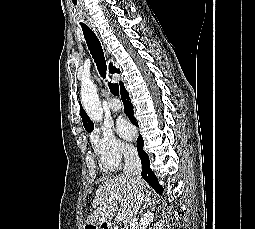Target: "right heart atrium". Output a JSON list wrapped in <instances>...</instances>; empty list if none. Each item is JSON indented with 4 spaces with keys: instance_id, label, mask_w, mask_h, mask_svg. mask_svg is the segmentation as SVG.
<instances>
[{
    "instance_id": "right-heart-atrium-1",
    "label": "right heart atrium",
    "mask_w": 255,
    "mask_h": 229,
    "mask_svg": "<svg viewBox=\"0 0 255 229\" xmlns=\"http://www.w3.org/2000/svg\"><path fill=\"white\" fill-rule=\"evenodd\" d=\"M92 145L105 171L118 168L124 158L134 153V147L118 139L110 128L103 127L92 134Z\"/></svg>"
}]
</instances>
